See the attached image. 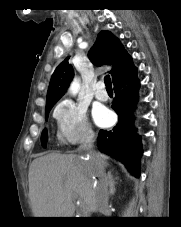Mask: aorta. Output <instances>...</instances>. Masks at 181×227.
Wrapping results in <instances>:
<instances>
[{
    "mask_svg": "<svg viewBox=\"0 0 181 227\" xmlns=\"http://www.w3.org/2000/svg\"><path fill=\"white\" fill-rule=\"evenodd\" d=\"M80 89V81L78 79H74L70 85L69 91L72 95H76Z\"/></svg>",
    "mask_w": 181,
    "mask_h": 227,
    "instance_id": "1",
    "label": "aorta"
}]
</instances>
